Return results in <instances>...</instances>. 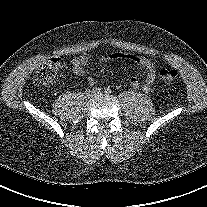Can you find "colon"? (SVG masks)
Wrapping results in <instances>:
<instances>
[{
    "label": "colon",
    "instance_id": "obj_1",
    "mask_svg": "<svg viewBox=\"0 0 207 207\" xmlns=\"http://www.w3.org/2000/svg\"><path fill=\"white\" fill-rule=\"evenodd\" d=\"M65 69V62L54 57L46 62L35 74L34 83L38 87H48L55 83L59 75ZM177 71L175 69H162L160 71L161 80L167 84H173L177 79Z\"/></svg>",
    "mask_w": 207,
    "mask_h": 207
}]
</instances>
